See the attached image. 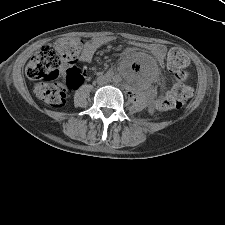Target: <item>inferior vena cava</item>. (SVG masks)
Masks as SVG:
<instances>
[{"mask_svg": "<svg viewBox=\"0 0 225 225\" xmlns=\"http://www.w3.org/2000/svg\"><path fill=\"white\" fill-rule=\"evenodd\" d=\"M106 83H107V80H105V79H101V80H99V82H98L99 85H104V84H106Z\"/></svg>", "mask_w": 225, "mask_h": 225, "instance_id": "602c4592", "label": "inferior vena cava"}]
</instances>
